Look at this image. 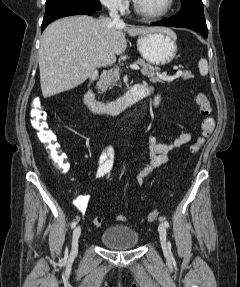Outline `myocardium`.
Wrapping results in <instances>:
<instances>
[{"label": "myocardium", "mask_w": 240, "mask_h": 287, "mask_svg": "<svg viewBox=\"0 0 240 287\" xmlns=\"http://www.w3.org/2000/svg\"><path fill=\"white\" fill-rule=\"evenodd\" d=\"M174 0H166L164 7L158 11H149L143 9L136 0H133V7L134 10L141 16L151 18V19H158L162 18L170 13L173 7Z\"/></svg>", "instance_id": "obj_1"}]
</instances>
